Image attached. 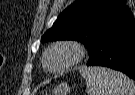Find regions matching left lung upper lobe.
Returning a JSON list of instances; mask_svg holds the SVG:
<instances>
[{
  "mask_svg": "<svg viewBox=\"0 0 135 95\" xmlns=\"http://www.w3.org/2000/svg\"><path fill=\"white\" fill-rule=\"evenodd\" d=\"M133 23L125 0H76L59 15L41 41H80L91 57L106 36Z\"/></svg>",
  "mask_w": 135,
  "mask_h": 95,
  "instance_id": "left-lung-upper-lobe-1",
  "label": "left lung upper lobe"
}]
</instances>
